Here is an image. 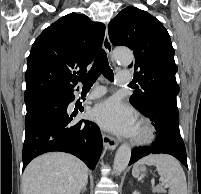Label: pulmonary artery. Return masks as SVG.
Segmentation results:
<instances>
[{"mask_svg": "<svg viewBox=\"0 0 201 194\" xmlns=\"http://www.w3.org/2000/svg\"><path fill=\"white\" fill-rule=\"evenodd\" d=\"M117 81L120 84H129L132 81V75L129 71H120L117 74ZM106 93V89L102 86L94 88L90 93L86 95L87 100H92L103 96Z\"/></svg>", "mask_w": 201, "mask_h": 194, "instance_id": "obj_1", "label": "pulmonary artery"}]
</instances>
